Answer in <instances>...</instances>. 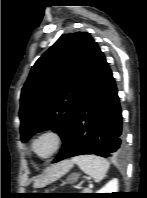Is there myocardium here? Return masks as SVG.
Segmentation results:
<instances>
[{
  "mask_svg": "<svg viewBox=\"0 0 147 198\" xmlns=\"http://www.w3.org/2000/svg\"><path fill=\"white\" fill-rule=\"evenodd\" d=\"M45 137H49L52 139L53 148L47 155L41 156L36 151V144L38 143L39 140ZM62 145H63V137L61 133L56 129L48 128L40 131L38 134L34 136V138L31 141V151L38 159L48 160L60 151Z\"/></svg>",
  "mask_w": 147,
  "mask_h": 198,
  "instance_id": "myocardium-1",
  "label": "myocardium"
}]
</instances>
